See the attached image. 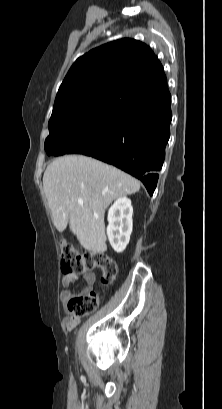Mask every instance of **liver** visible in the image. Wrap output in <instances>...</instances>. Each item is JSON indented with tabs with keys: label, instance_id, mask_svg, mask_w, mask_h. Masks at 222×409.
<instances>
[{
	"label": "liver",
	"instance_id": "1",
	"mask_svg": "<svg viewBox=\"0 0 222 409\" xmlns=\"http://www.w3.org/2000/svg\"><path fill=\"white\" fill-rule=\"evenodd\" d=\"M43 187L56 229L63 232L69 224L85 250L104 253L105 210L114 199L138 192L140 182L91 157L65 155L47 166Z\"/></svg>",
	"mask_w": 222,
	"mask_h": 409
}]
</instances>
